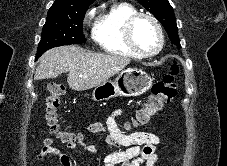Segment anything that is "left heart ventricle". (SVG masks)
Instances as JSON below:
<instances>
[{
	"mask_svg": "<svg viewBox=\"0 0 227 166\" xmlns=\"http://www.w3.org/2000/svg\"><path fill=\"white\" fill-rule=\"evenodd\" d=\"M134 39L138 47L145 52H152L158 46V33L153 23L146 19H140L134 27Z\"/></svg>",
	"mask_w": 227,
	"mask_h": 166,
	"instance_id": "1",
	"label": "left heart ventricle"
}]
</instances>
